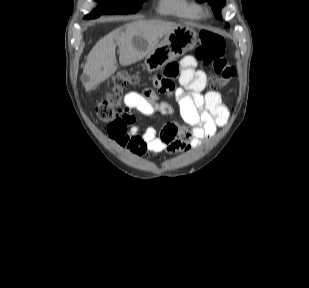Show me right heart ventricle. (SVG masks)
Listing matches in <instances>:
<instances>
[{"label": "right heart ventricle", "mask_w": 309, "mask_h": 288, "mask_svg": "<svg viewBox=\"0 0 309 288\" xmlns=\"http://www.w3.org/2000/svg\"><path fill=\"white\" fill-rule=\"evenodd\" d=\"M159 11L189 20L202 16L201 6L193 0H159Z\"/></svg>", "instance_id": "obj_1"}]
</instances>
